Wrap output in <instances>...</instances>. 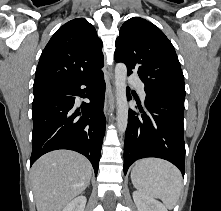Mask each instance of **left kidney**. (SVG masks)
I'll return each mask as SVG.
<instances>
[{"mask_svg": "<svg viewBox=\"0 0 221 211\" xmlns=\"http://www.w3.org/2000/svg\"><path fill=\"white\" fill-rule=\"evenodd\" d=\"M133 200L138 211H167L161 202L139 191L133 192Z\"/></svg>", "mask_w": 221, "mask_h": 211, "instance_id": "1", "label": "left kidney"}]
</instances>
